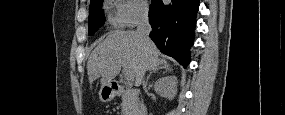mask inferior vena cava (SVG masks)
Returning <instances> with one entry per match:
<instances>
[{
    "label": "inferior vena cava",
    "instance_id": "obj_1",
    "mask_svg": "<svg viewBox=\"0 0 285 115\" xmlns=\"http://www.w3.org/2000/svg\"><path fill=\"white\" fill-rule=\"evenodd\" d=\"M150 32H151V26L149 24L148 16L144 15L139 20V23L137 26V35L143 44H146L150 41V38H149ZM144 74L145 72L142 71L140 75V79L141 81H143V84H144Z\"/></svg>",
    "mask_w": 285,
    "mask_h": 115
}]
</instances>
